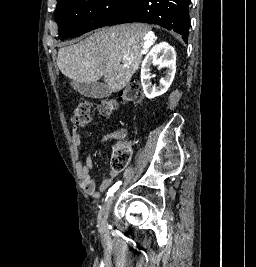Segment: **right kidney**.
<instances>
[{"label": "right kidney", "instance_id": "right-kidney-1", "mask_svg": "<svg viewBox=\"0 0 256 267\" xmlns=\"http://www.w3.org/2000/svg\"><path fill=\"white\" fill-rule=\"evenodd\" d=\"M159 66V68H167L166 76L159 80V86L151 84V66ZM176 72V54L174 48L169 46L167 42H160L151 48L149 54L144 58L141 64V84L143 86L146 98H156L162 96L170 88Z\"/></svg>", "mask_w": 256, "mask_h": 267}]
</instances>
